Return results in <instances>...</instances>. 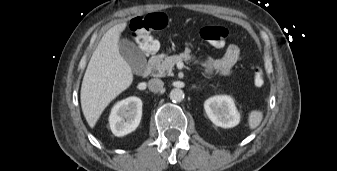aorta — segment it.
<instances>
[{
  "label": "aorta",
  "mask_w": 337,
  "mask_h": 171,
  "mask_svg": "<svg viewBox=\"0 0 337 171\" xmlns=\"http://www.w3.org/2000/svg\"><path fill=\"white\" fill-rule=\"evenodd\" d=\"M169 97L173 102H181L184 98V92L179 88H175L171 90Z\"/></svg>",
  "instance_id": "1"
}]
</instances>
